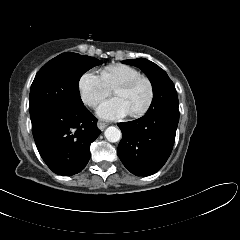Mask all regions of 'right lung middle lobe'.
Masks as SVG:
<instances>
[{
  "label": "right lung middle lobe",
  "mask_w": 240,
  "mask_h": 240,
  "mask_svg": "<svg viewBox=\"0 0 240 240\" xmlns=\"http://www.w3.org/2000/svg\"><path fill=\"white\" fill-rule=\"evenodd\" d=\"M100 64L98 59L71 52L60 54L47 62L31 85V119L50 110L82 106L79 79L86 71Z\"/></svg>",
  "instance_id": "obj_1"
}]
</instances>
